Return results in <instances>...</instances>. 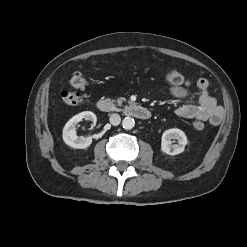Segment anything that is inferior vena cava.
Wrapping results in <instances>:
<instances>
[{
  "label": "inferior vena cava",
  "mask_w": 247,
  "mask_h": 247,
  "mask_svg": "<svg viewBox=\"0 0 247 247\" xmlns=\"http://www.w3.org/2000/svg\"><path fill=\"white\" fill-rule=\"evenodd\" d=\"M109 121L112 125L117 126L121 122V117L119 114L114 113L110 115Z\"/></svg>",
  "instance_id": "inferior-vena-cava-1"
}]
</instances>
